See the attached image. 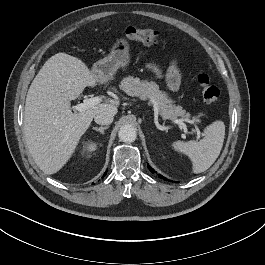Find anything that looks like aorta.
Listing matches in <instances>:
<instances>
[{
    "instance_id": "aorta-1",
    "label": "aorta",
    "mask_w": 265,
    "mask_h": 265,
    "mask_svg": "<svg viewBox=\"0 0 265 265\" xmlns=\"http://www.w3.org/2000/svg\"><path fill=\"white\" fill-rule=\"evenodd\" d=\"M118 136L120 138L121 141L123 142H133L135 141L136 137H137V132L136 129L134 128V126L130 125V124H125L123 126H121Z\"/></svg>"
}]
</instances>
